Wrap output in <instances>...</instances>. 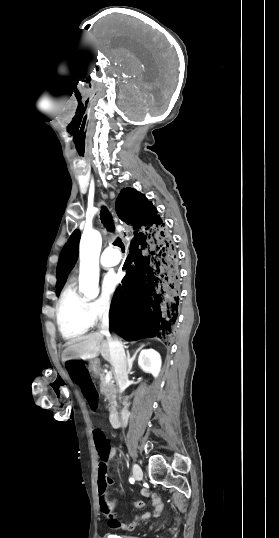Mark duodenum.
<instances>
[{
  "label": "duodenum",
  "instance_id": "410a0bca",
  "mask_svg": "<svg viewBox=\"0 0 279 538\" xmlns=\"http://www.w3.org/2000/svg\"><path fill=\"white\" fill-rule=\"evenodd\" d=\"M92 372L94 374H98L100 372L97 364L92 366ZM121 405H123V408H116L114 413H110V418H108V423H113L111 424V427L114 429L119 428V423L120 428H127V423H129L128 414L131 413V410H129L128 405H130V402H127V405L126 402H121Z\"/></svg>",
  "mask_w": 279,
  "mask_h": 538
}]
</instances>
